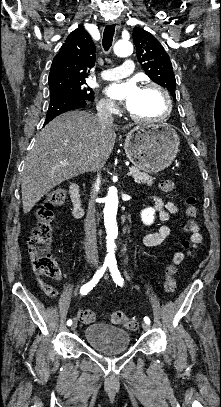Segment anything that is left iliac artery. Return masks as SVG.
<instances>
[{"label":"left iliac artery","instance_id":"obj_1","mask_svg":"<svg viewBox=\"0 0 221 407\" xmlns=\"http://www.w3.org/2000/svg\"><path fill=\"white\" fill-rule=\"evenodd\" d=\"M109 268H110L111 276H112L114 282L122 287L123 283H124V279L121 277L116 263L110 264ZM144 322L147 323V324H150L151 321H150L149 317L146 316L144 318Z\"/></svg>","mask_w":221,"mask_h":407}]
</instances>
